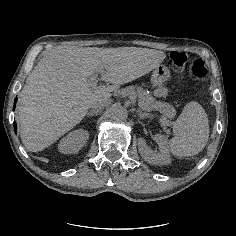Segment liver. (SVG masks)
<instances>
[{"label":"liver","mask_w":236,"mask_h":236,"mask_svg":"<svg viewBox=\"0 0 236 236\" xmlns=\"http://www.w3.org/2000/svg\"><path fill=\"white\" fill-rule=\"evenodd\" d=\"M147 48L66 47L48 52L21 90L18 113L21 140L28 151H42L72 129L88 109L108 102L111 92L149 70L140 65ZM100 73L112 85L91 86Z\"/></svg>","instance_id":"obj_1"}]
</instances>
